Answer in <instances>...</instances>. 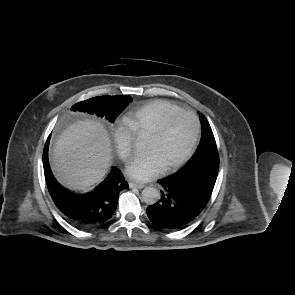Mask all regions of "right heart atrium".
I'll use <instances>...</instances> for the list:
<instances>
[{
	"instance_id": "obj_1",
	"label": "right heart atrium",
	"mask_w": 295,
	"mask_h": 295,
	"mask_svg": "<svg viewBox=\"0 0 295 295\" xmlns=\"http://www.w3.org/2000/svg\"><path fill=\"white\" fill-rule=\"evenodd\" d=\"M113 139L118 155L128 160L134 151V136L125 124H117L113 130Z\"/></svg>"
}]
</instances>
